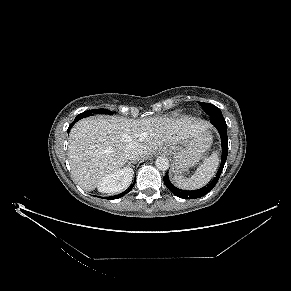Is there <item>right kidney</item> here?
<instances>
[{
  "label": "right kidney",
  "instance_id": "obj_1",
  "mask_svg": "<svg viewBox=\"0 0 291 291\" xmlns=\"http://www.w3.org/2000/svg\"><path fill=\"white\" fill-rule=\"evenodd\" d=\"M133 174V170L124 167L111 174L104 176L98 185L99 192L114 194L122 191L128 184Z\"/></svg>",
  "mask_w": 291,
  "mask_h": 291
}]
</instances>
